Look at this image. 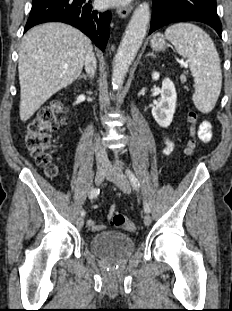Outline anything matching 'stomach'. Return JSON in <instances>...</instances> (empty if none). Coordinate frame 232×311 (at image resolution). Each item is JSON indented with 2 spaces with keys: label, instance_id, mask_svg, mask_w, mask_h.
Returning <instances> with one entry per match:
<instances>
[{
  "label": "stomach",
  "instance_id": "obj_1",
  "mask_svg": "<svg viewBox=\"0 0 232 311\" xmlns=\"http://www.w3.org/2000/svg\"><path fill=\"white\" fill-rule=\"evenodd\" d=\"M150 45L156 51H163L167 47V42L161 33H156L152 36Z\"/></svg>",
  "mask_w": 232,
  "mask_h": 311
}]
</instances>
